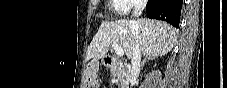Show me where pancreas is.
Here are the masks:
<instances>
[{"mask_svg":"<svg viewBox=\"0 0 227 88\" xmlns=\"http://www.w3.org/2000/svg\"><path fill=\"white\" fill-rule=\"evenodd\" d=\"M111 74L115 83L121 85L122 87H127L128 75L121 68L112 67Z\"/></svg>","mask_w":227,"mask_h":88,"instance_id":"pancreas-1","label":"pancreas"}]
</instances>
